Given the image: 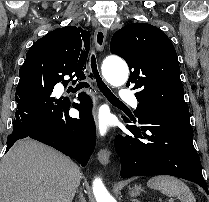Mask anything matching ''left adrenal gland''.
<instances>
[{
    "mask_svg": "<svg viewBox=\"0 0 209 202\" xmlns=\"http://www.w3.org/2000/svg\"><path fill=\"white\" fill-rule=\"evenodd\" d=\"M133 202H140L139 200H137V199H135V200H133Z\"/></svg>",
    "mask_w": 209,
    "mask_h": 202,
    "instance_id": "obj_1",
    "label": "left adrenal gland"
}]
</instances>
